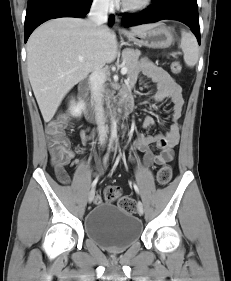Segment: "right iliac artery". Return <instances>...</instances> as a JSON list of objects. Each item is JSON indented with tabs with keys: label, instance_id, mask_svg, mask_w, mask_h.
Masks as SVG:
<instances>
[{
	"label": "right iliac artery",
	"instance_id": "obj_1",
	"mask_svg": "<svg viewBox=\"0 0 231 281\" xmlns=\"http://www.w3.org/2000/svg\"><path fill=\"white\" fill-rule=\"evenodd\" d=\"M112 143H113V140L110 139V143H109V148H108V153L106 154V157H105V160L108 158V154H109V151L112 147ZM97 181H98V178H96L93 182H92V187H94L96 184H97Z\"/></svg>",
	"mask_w": 231,
	"mask_h": 281
}]
</instances>
